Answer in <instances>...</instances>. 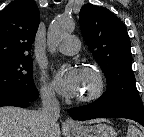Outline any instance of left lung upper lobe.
Segmentation results:
<instances>
[{
  "instance_id": "obj_1",
  "label": "left lung upper lobe",
  "mask_w": 144,
  "mask_h": 137,
  "mask_svg": "<svg viewBox=\"0 0 144 137\" xmlns=\"http://www.w3.org/2000/svg\"><path fill=\"white\" fill-rule=\"evenodd\" d=\"M82 35L107 79L105 102L138 100L131 69V43L122 21L107 8L86 4L79 14Z\"/></svg>"
}]
</instances>
